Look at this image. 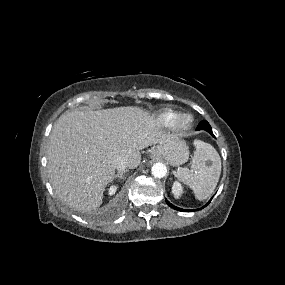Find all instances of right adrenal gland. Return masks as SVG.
Instances as JSON below:
<instances>
[{
    "instance_id": "1",
    "label": "right adrenal gland",
    "mask_w": 285,
    "mask_h": 285,
    "mask_svg": "<svg viewBox=\"0 0 285 285\" xmlns=\"http://www.w3.org/2000/svg\"><path fill=\"white\" fill-rule=\"evenodd\" d=\"M127 172V170H121L118 171L116 175H114L113 179L119 178V179H125L124 174Z\"/></svg>"
}]
</instances>
